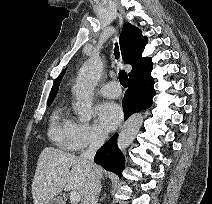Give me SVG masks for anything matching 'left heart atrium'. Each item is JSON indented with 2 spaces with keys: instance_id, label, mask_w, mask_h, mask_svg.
<instances>
[{
  "instance_id": "1",
  "label": "left heart atrium",
  "mask_w": 212,
  "mask_h": 204,
  "mask_svg": "<svg viewBox=\"0 0 212 204\" xmlns=\"http://www.w3.org/2000/svg\"><path fill=\"white\" fill-rule=\"evenodd\" d=\"M97 115L100 126L105 131H113L121 123L123 111L119 104L105 101L97 107Z\"/></svg>"
}]
</instances>
